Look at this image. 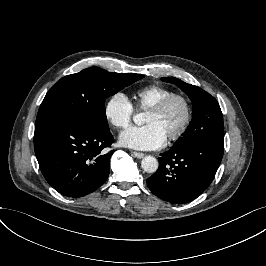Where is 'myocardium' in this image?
I'll return each mask as SVG.
<instances>
[{"instance_id": "myocardium-1", "label": "myocardium", "mask_w": 266, "mask_h": 266, "mask_svg": "<svg viewBox=\"0 0 266 266\" xmlns=\"http://www.w3.org/2000/svg\"><path fill=\"white\" fill-rule=\"evenodd\" d=\"M177 100L181 101L184 104L185 109H186V115H185V119H184L183 123L181 124V126L179 127V129L175 133L167 136V138L170 141L179 140L188 130V128L192 122V119H193V106H192L191 100L189 99L188 96H186L182 93L174 92V93H171V94L167 95L166 97H164L157 104L148 108V110L155 111L158 113H163L170 107V105L174 101H177Z\"/></svg>"}]
</instances>
